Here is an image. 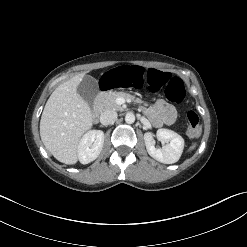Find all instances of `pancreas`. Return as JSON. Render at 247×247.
<instances>
[{"label": "pancreas", "instance_id": "cf45deb5", "mask_svg": "<svg viewBox=\"0 0 247 247\" xmlns=\"http://www.w3.org/2000/svg\"><path fill=\"white\" fill-rule=\"evenodd\" d=\"M118 97H124L126 99H130L135 101L136 103H141V100L138 98H134V96H131L127 93L123 92H108V93H102L99 97V103L104 109H113L117 111H122L123 107L118 105L116 103V99Z\"/></svg>", "mask_w": 247, "mask_h": 247}]
</instances>
